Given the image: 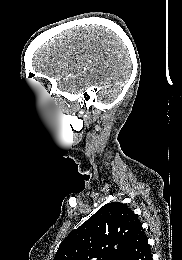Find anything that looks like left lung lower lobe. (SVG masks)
I'll return each instance as SVG.
<instances>
[{"label":"left lung lower lobe","mask_w":182,"mask_h":260,"mask_svg":"<svg viewBox=\"0 0 182 260\" xmlns=\"http://www.w3.org/2000/svg\"><path fill=\"white\" fill-rule=\"evenodd\" d=\"M120 260H152L150 246L142 226L132 236Z\"/></svg>","instance_id":"left-lung-lower-lobe-1"}]
</instances>
